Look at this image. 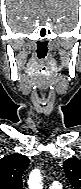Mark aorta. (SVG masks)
Instances as JSON below:
<instances>
[{
  "instance_id": "762f6f07",
  "label": "aorta",
  "mask_w": 81,
  "mask_h": 189,
  "mask_svg": "<svg viewBox=\"0 0 81 189\" xmlns=\"http://www.w3.org/2000/svg\"><path fill=\"white\" fill-rule=\"evenodd\" d=\"M41 173L39 169H34L28 179V186L29 189H42V184H41Z\"/></svg>"
}]
</instances>
